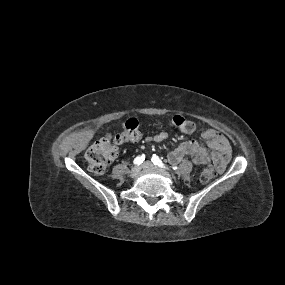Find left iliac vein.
<instances>
[{
	"label": "left iliac vein",
	"instance_id": "4c4485c4",
	"mask_svg": "<svg viewBox=\"0 0 285 285\" xmlns=\"http://www.w3.org/2000/svg\"><path fill=\"white\" fill-rule=\"evenodd\" d=\"M142 168H143V169H155V166H154L151 162H145V163L142 165Z\"/></svg>",
	"mask_w": 285,
	"mask_h": 285
}]
</instances>
